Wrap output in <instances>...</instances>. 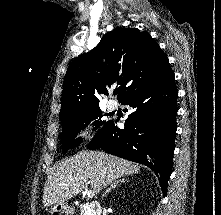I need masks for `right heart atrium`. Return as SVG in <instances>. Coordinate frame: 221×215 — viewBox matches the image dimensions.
Wrapping results in <instances>:
<instances>
[{"mask_svg": "<svg viewBox=\"0 0 221 215\" xmlns=\"http://www.w3.org/2000/svg\"><path fill=\"white\" fill-rule=\"evenodd\" d=\"M79 136L89 138L91 136V129L89 127H82L79 130Z\"/></svg>", "mask_w": 221, "mask_h": 215, "instance_id": "right-heart-atrium-1", "label": "right heart atrium"}]
</instances>
